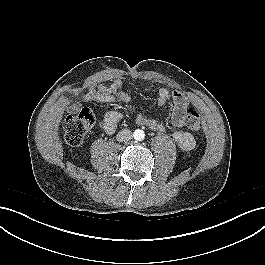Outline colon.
<instances>
[{
	"mask_svg": "<svg viewBox=\"0 0 265 265\" xmlns=\"http://www.w3.org/2000/svg\"><path fill=\"white\" fill-rule=\"evenodd\" d=\"M94 114L90 109L83 108L78 113L68 115L63 122L65 140L68 144L78 146L82 143L84 136L94 125ZM186 126L193 132L201 129L200 114L193 108H188Z\"/></svg>",
	"mask_w": 265,
	"mask_h": 265,
	"instance_id": "obj_1",
	"label": "colon"
}]
</instances>
